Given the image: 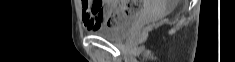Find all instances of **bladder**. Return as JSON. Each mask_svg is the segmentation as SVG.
I'll list each match as a JSON object with an SVG mask.
<instances>
[{"label":"bladder","instance_id":"1","mask_svg":"<svg viewBox=\"0 0 235 62\" xmlns=\"http://www.w3.org/2000/svg\"><path fill=\"white\" fill-rule=\"evenodd\" d=\"M135 20L136 15H128L115 25H103L91 33L109 41H118L128 35Z\"/></svg>","mask_w":235,"mask_h":62}]
</instances>
